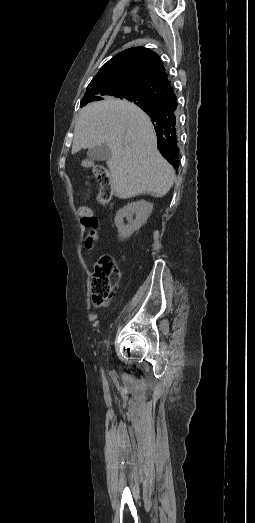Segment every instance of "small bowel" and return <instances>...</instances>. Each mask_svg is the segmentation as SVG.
Wrapping results in <instances>:
<instances>
[{"label":"small bowel","instance_id":"obj_1","mask_svg":"<svg viewBox=\"0 0 255 523\" xmlns=\"http://www.w3.org/2000/svg\"><path fill=\"white\" fill-rule=\"evenodd\" d=\"M88 227L87 235L84 241V247L91 251L99 240L98 221L94 218L91 224H85Z\"/></svg>","mask_w":255,"mask_h":523}]
</instances>
